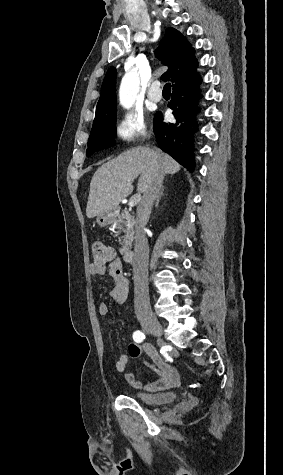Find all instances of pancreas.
I'll return each instance as SVG.
<instances>
[{
	"label": "pancreas",
	"instance_id": "cf45deb5",
	"mask_svg": "<svg viewBox=\"0 0 283 475\" xmlns=\"http://www.w3.org/2000/svg\"><path fill=\"white\" fill-rule=\"evenodd\" d=\"M116 228L123 232L124 236H122V247H120V253H126V251H130L132 247V241L134 239V218L130 216V214H120L117 220H115Z\"/></svg>",
	"mask_w": 283,
	"mask_h": 475
}]
</instances>
